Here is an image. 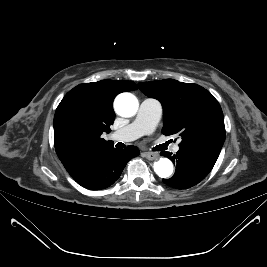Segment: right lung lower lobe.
<instances>
[{"label":"right lung lower lobe","mask_w":267,"mask_h":267,"mask_svg":"<svg viewBox=\"0 0 267 267\" xmlns=\"http://www.w3.org/2000/svg\"><path fill=\"white\" fill-rule=\"evenodd\" d=\"M139 153V149L132 145L124 150L113 146L99 147L82 156L66 170L84 188L105 189L120 177L127 162Z\"/></svg>","instance_id":"obj_1"}]
</instances>
